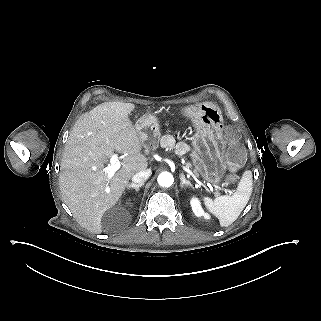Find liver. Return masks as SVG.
<instances>
[{"label":"liver","instance_id":"1","mask_svg":"<svg viewBox=\"0 0 321 321\" xmlns=\"http://www.w3.org/2000/svg\"><path fill=\"white\" fill-rule=\"evenodd\" d=\"M137 105L109 101L82 114L73 126L61 162L62 199L77 222L102 233V218L123 195L130 178L148 168L143 142L131 120ZM114 151L126 154L112 177L100 172Z\"/></svg>","mask_w":321,"mask_h":321}]
</instances>
